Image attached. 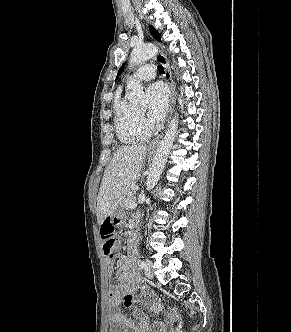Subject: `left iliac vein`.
<instances>
[{"instance_id": "1", "label": "left iliac vein", "mask_w": 291, "mask_h": 332, "mask_svg": "<svg viewBox=\"0 0 291 332\" xmlns=\"http://www.w3.org/2000/svg\"><path fill=\"white\" fill-rule=\"evenodd\" d=\"M146 263V268H145V276L148 278V279H152L153 278V271H152V263L151 261L149 260H146L145 261Z\"/></svg>"}]
</instances>
